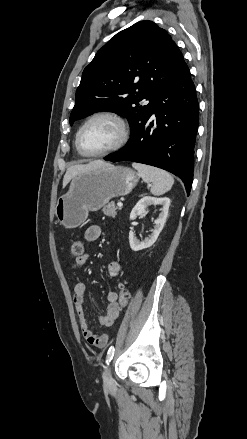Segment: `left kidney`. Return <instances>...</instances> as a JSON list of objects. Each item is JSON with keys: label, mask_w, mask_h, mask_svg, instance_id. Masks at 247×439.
Here are the masks:
<instances>
[{"label": "left kidney", "mask_w": 247, "mask_h": 439, "mask_svg": "<svg viewBox=\"0 0 247 439\" xmlns=\"http://www.w3.org/2000/svg\"><path fill=\"white\" fill-rule=\"evenodd\" d=\"M150 205H161L162 212L155 220V226L152 234L149 237L145 238L144 241H140L139 239H137L133 231L129 232V243L133 251H139L152 246L156 242L166 222L170 206V199L167 197L156 198L151 196H145L138 201V203L134 206L130 213V220H134L137 216L145 214L147 207Z\"/></svg>", "instance_id": "5707ae66"}]
</instances>
